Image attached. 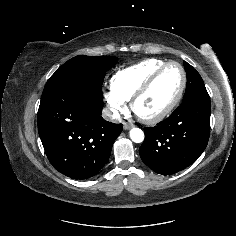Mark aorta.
Here are the masks:
<instances>
[{
    "label": "aorta",
    "instance_id": "obj_1",
    "mask_svg": "<svg viewBox=\"0 0 236 236\" xmlns=\"http://www.w3.org/2000/svg\"><path fill=\"white\" fill-rule=\"evenodd\" d=\"M130 138L135 143H141L144 140V132L140 128H132Z\"/></svg>",
    "mask_w": 236,
    "mask_h": 236
}]
</instances>
